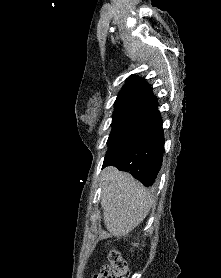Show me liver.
Returning <instances> with one entry per match:
<instances>
[{
	"mask_svg": "<svg viewBox=\"0 0 221 278\" xmlns=\"http://www.w3.org/2000/svg\"><path fill=\"white\" fill-rule=\"evenodd\" d=\"M101 206L104 224L110 234L125 236L148 215L152 196L129 173L115 167L102 171Z\"/></svg>",
	"mask_w": 221,
	"mask_h": 278,
	"instance_id": "obj_1",
	"label": "liver"
}]
</instances>
